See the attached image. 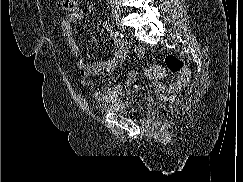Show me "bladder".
Instances as JSON below:
<instances>
[{
  "label": "bladder",
  "instance_id": "obj_1",
  "mask_svg": "<svg viewBox=\"0 0 243 182\" xmlns=\"http://www.w3.org/2000/svg\"><path fill=\"white\" fill-rule=\"evenodd\" d=\"M145 103V95L136 92H129L122 99L108 103H97L94 107L101 113L133 114L141 111Z\"/></svg>",
  "mask_w": 243,
  "mask_h": 182
}]
</instances>
